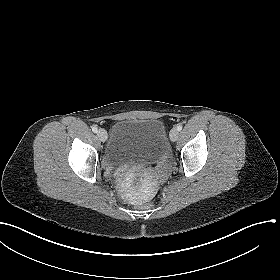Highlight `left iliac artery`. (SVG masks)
Here are the masks:
<instances>
[{
	"mask_svg": "<svg viewBox=\"0 0 280 280\" xmlns=\"http://www.w3.org/2000/svg\"><path fill=\"white\" fill-rule=\"evenodd\" d=\"M177 130H178V131H181V130H182V125L178 124V125H177Z\"/></svg>",
	"mask_w": 280,
	"mask_h": 280,
	"instance_id": "44dca946",
	"label": "left iliac artery"
}]
</instances>
